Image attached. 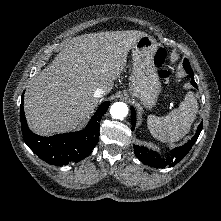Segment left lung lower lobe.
<instances>
[{
  "label": "left lung lower lobe",
  "instance_id": "obj_1",
  "mask_svg": "<svg viewBox=\"0 0 221 221\" xmlns=\"http://www.w3.org/2000/svg\"><path fill=\"white\" fill-rule=\"evenodd\" d=\"M187 73L191 76V84L197 88V84L194 81V74L191 67H185ZM131 123L132 129H134L136 124V114L135 110L131 108ZM202 130V123L198 126L195 136L192 137L186 144L175 148L171 151V155L165 159L161 158L160 154L153 150H149L143 146L134 145V151L137 158L144 164L155 168H165L166 166L172 167L176 165L183 157L189 152L194 143L196 142L200 132Z\"/></svg>",
  "mask_w": 221,
  "mask_h": 221
}]
</instances>
